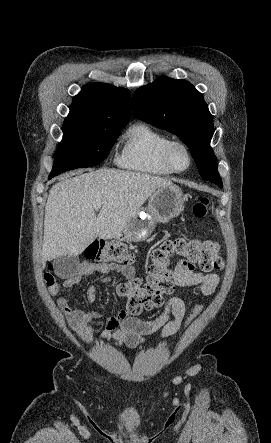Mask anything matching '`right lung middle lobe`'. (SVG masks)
<instances>
[{
	"instance_id": "1",
	"label": "right lung middle lobe",
	"mask_w": 271,
	"mask_h": 443,
	"mask_svg": "<svg viewBox=\"0 0 271 443\" xmlns=\"http://www.w3.org/2000/svg\"><path fill=\"white\" fill-rule=\"evenodd\" d=\"M127 121V117H67L50 176L101 163Z\"/></svg>"
}]
</instances>
